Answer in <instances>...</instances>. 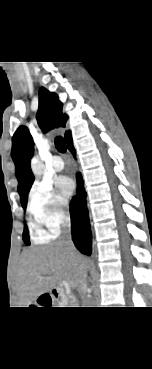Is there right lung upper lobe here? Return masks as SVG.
Segmentation results:
<instances>
[{
	"label": "right lung upper lobe",
	"mask_w": 152,
	"mask_h": 369,
	"mask_svg": "<svg viewBox=\"0 0 152 369\" xmlns=\"http://www.w3.org/2000/svg\"><path fill=\"white\" fill-rule=\"evenodd\" d=\"M63 104L58 100L55 93L45 88L40 89L39 110L37 121L43 131H49L55 127H64L68 119L62 114ZM66 142L72 140L71 135L66 132ZM33 139L25 126H20L12 138V159L16 166V177L18 180V193L21 203L27 202L28 192L34 181L30 168V159L33 155Z\"/></svg>",
	"instance_id": "cb5924a9"
}]
</instances>
